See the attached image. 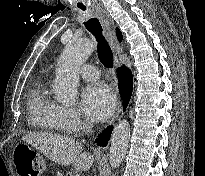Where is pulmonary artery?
Masks as SVG:
<instances>
[{"label":"pulmonary artery","mask_w":205,"mask_h":176,"mask_svg":"<svg viewBox=\"0 0 205 176\" xmlns=\"http://www.w3.org/2000/svg\"><path fill=\"white\" fill-rule=\"evenodd\" d=\"M79 75L86 80H96L99 77V70L89 64H84L79 68Z\"/></svg>","instance_id":"e3ab8cb5"}]
</instances>
